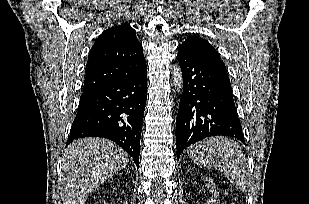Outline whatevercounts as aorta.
I'll return each mask as SVG.
<instances>
[{"label":"aorta","instance_id":"aorta-1","mask_svg":"<svg viewBox=\"0 0 309 204\" xmlns=\"http://www.w3.org/2000/svg\"><path fill=\"white\" fill-rule=\"evenodd\" d=\"M173 84L175 89L179 92L183 87V80H182V72L179 65H176L173 70Z\"/></svg>","mask_w":309,"mask_h":204}]
</instances>
